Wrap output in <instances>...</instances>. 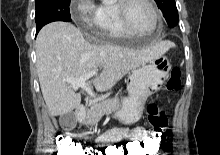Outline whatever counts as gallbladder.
<instances>
[{
  "mask_svg": "<svg viewBox=\"0 0 220 155\" xmlns=\"http://www.w3.org/2000/svg\"><path fill=\"white\" fill-rule=\"evenodd\" d=\"M69 121L70 122V126L69 128H73L76 124V116L74 113H71L69 115H66L63 117V123H65L66 121Z\"/></svg>",
  "mask_w": 220,
  "mask_h": 155,
  "instance_id": "gallbladder-1",
  "label": "gallbladder"
}]
</instances>
